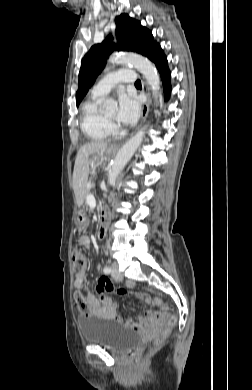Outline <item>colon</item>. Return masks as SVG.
<instances>
[{
	"label": "colon",
	"mask_w": 252,
	"mask_h": 390,
	"mask_svg": "<svg viewBox=\"0 0 252 390\" xmlns=\"http://www.w3.org/2000/svg\"><path fill=\"white\" fill-rule=\"evenodd\" d=\"M72 263H73V270L76 274L80 273L84 270V267L86 265V256H85L83 250L81 249V247H75L72 250ZM110 289H111V286L108 287V290H110ZM117 293L119 295L130 294L133 299L141 300V301H145V302L149 299V297L146 294L138 293V292L129 293L127 290L122 289V288L118 289ZM74 299H75V303H76L78 309L83 314H85V315L91 314V310L87 305L86 296L84 294L77 291L74 295ZM163 310L166 314L165 324L163 326V329L154 335L153 340L148 347L149 351L160 347L164 343L169 330L172 327H174L177 323V315L174 312L173 307L171 305L164 306Z\"/></svg>",
	"instance_id": "colon-1"
}]
</instances>
